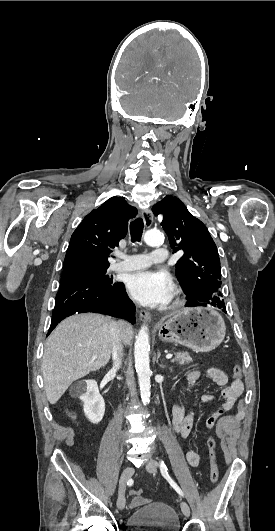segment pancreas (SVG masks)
Instances as JSON below:
<instances>
[{
	"mask_svg": "<svg viewBox=\"0 0 275 531\" xmlns=\"http://www.w3.org/2000/svg\"><path fill=\"white\" fill-rule=\"evenodd\" d=\"M175 359H172V363H178V365H189L192 363V357L189 353H184V351H179V353H174Z\"/></svg>",
	"mask_w": 275,
	"mask_h": 531,
	"instance_id": "pancreas-1",
	"label": "pancreas"
}]
</instances>
